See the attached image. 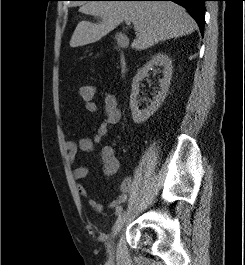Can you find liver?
<instances>
[{
  "mask_svg": "<svg viewBox=\"0 0 245 265\" xmlns=\"http://www.w3.org/2000/svg\"><path fill=\"white\" fill-rule=\"evenodd\" d=\"M79 11L100 17L101 22H79L70 40L72 48L99 41L126 20L134 25L136 39L131 47L136 50L191 34L197 28L185 9L170 1H91L83 4Z\"/></svg>",
  "mask_w": 245,
  "mask_h": 265,
  "instance_id": "1",
  "label": "liver"
}]
</instances>
